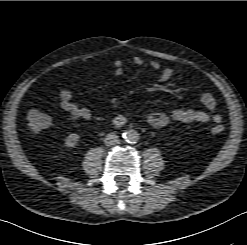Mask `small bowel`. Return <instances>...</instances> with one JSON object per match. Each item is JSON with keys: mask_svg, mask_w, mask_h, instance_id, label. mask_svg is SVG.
<instances>
[{"mask_svg": "<svg viewBox=\"0 0 247 245\" xmlns=\"http://www.w3.org/2000/svg\"><path fill=\"white\" fill-rule=\"evenodd\" d=\"M133 64L136 66H142L145 61L140 56H134L132 58ZM114 73L116 75H122L124 73L123 63L120 60L113 62ZM149 66L154 70L161 69V64L157 60H151ZM174 74V71L170 67H164L161 69L160 80L162 82L169 81ZM60 106L61 108L69 113L75 119L90 120L92 112L85 106H80L72 100V93L69 90H61L59 93ZM201 102L204 107L213 112L216 109V100L211 93H204L201 96ZM212 118L215 123L221 122V116L214 114L212 117L203 110L194 108H181L176 109L172 113L168 114L165 112H152L147 116L148 123L154 128H161L168 125L171 121H178L182 123H205Z\"/></svg>", "mask_w": 247, "mask_h": 245, "instance_id": "c3829d8e", "label": "small bowel"}]
</instances>
